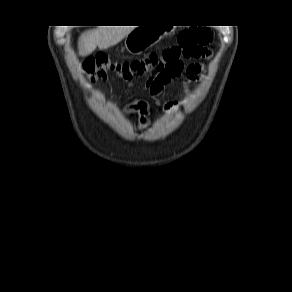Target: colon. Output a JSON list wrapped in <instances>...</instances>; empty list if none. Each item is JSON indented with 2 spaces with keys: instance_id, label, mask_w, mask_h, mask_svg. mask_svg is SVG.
<instances>
[{
  "instance_id": "obj_1",
  "label": "colon",
  "mask_w": 292,
  "mask_h": 292,
  "mask_svg": "<svg viewBox=\"0 0 292 292\" xmlns=\"http://www.w3.org/2000/svg\"><path fill=\"white\" fill-rule=\"evenodd\" d=\"M213 39L207 28L191 27L182 31L178 44L161 53L128 62H113L105 55H97L83 64L89 83L106 80L115 74L125 81H133L148 75L147 87L151 93L185 70V60L206 55V45ZM140 107H144L141 103Z\"/></svg>"
}]
</instances>
